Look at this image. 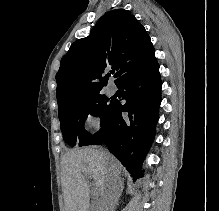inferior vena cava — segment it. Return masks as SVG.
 Segmentation results:
<instances>
[{"instance_id": "1", "label": "inferior vena cava", "mask_w": 219, "mask_h": 211, "mask_svg": "<svg viewBox=\"0 0 219 211\" xmlns=\"http://www.w3.org/2000/svg\"><path fill=\"white\" fill-rule=\"evenodd\" d=\"M123 178L122 174H113L110 179L111 183H107L106 188V197H103V202H101V207L97 211H112L113 207H116V202L118 198H121V188L122 183L121 179Z\"/></svg>"}]
</instances>
